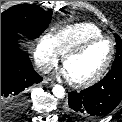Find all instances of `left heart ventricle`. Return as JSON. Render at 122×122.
Wrapping results in <instances>:
<instances>
[{"instance_id": "b2bd125f", "label": "left heart ventricle", "mask_w": 122, "mask_h": 122, "mask_svg": "<svg viewBox=\"0 0 122 122\" xmlns=\"http://www.w3.org/2000/svg\"><path fill=\"white\" fill-rule=\"evenodd\" d=\"M109 41L102 40L90 45L79 55L69 58L64 68L68 77L74 81H83L94 76L109 57Z\"/></svg>"}]
</instances>
